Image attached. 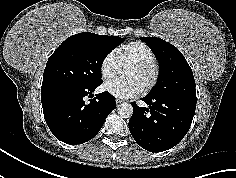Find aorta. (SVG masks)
Wrapping results in <instances>:
<instances>
[{
	"label": "aorta",
	"mask_w": 236,
	"mask_h": 178,
	"mask_svg": "<svg viewBox=\"0 0 236 178\" xmlns=\"http://www.w3.org/2000/svg\"><path fill=\"white\" fill-rule=\"evenodd\" d=\"M117 112L122 118H129L133 114V107L128 103H121L117 107Z\"/></svg>",
	"instance_id": "1"
}]
</instances>
